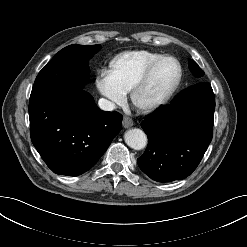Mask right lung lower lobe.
<instances>
[{"label":"right lung lower lobe","mask_w":247,"mask_h":247,"mask_svg":"<svg viewBox=\"0 0 247 247\" xmlns=\"http://www.w3.org/2000/svg\"><path fill=\"white\" fill-rule=\"evenodd\" d=\"M31 140L56 174L78 176L105 153L121 130L122 115L101 111L93 97L78 91L47 88L29 100Z\"/></svg>","instance_id":"98d812e1"}]
</instances>
